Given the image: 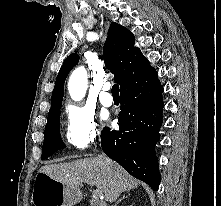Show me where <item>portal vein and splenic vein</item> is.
Wrapping results in <instances>:
<instances>
[{"mask_svg": "<svg viewBox=\"0 0 221 206\" xmlns=\"http://www.w3.org/2000/svg\"><path fill=\"white\" fill-rule=\"evenodd\" d=\"M93 197H94V198H104L103 195H102V192L99 191V190H95V191L93 192Z\"/></svg>", "mask_w": 221, "mask_h": 206, "instance_id": "portal-vein-and-splenic-vein-1", "label": "portal vein and splenic vein"}]
</instances>
